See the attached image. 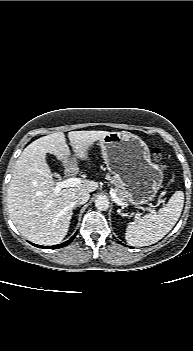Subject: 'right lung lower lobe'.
Here are the masks:
<instances>
[{"label": "right lung lower lobe", "instance_id": "obj_1", "mask_svg": "<svg viewBox=\"0 0 193 351\" xmlns=\"http://www.w3.org/2000/svg\"><path fill=\"white\" fill-rule=\"evenodd\" d=\"M75 235L72 236L68 241H66L60 245H54V246H40V245H36V244H32V245L39 247V248H45V249H57V248H61V247L68 245L74 239Z\"/></svg>", "mask_w": 193, "mask_h": 351}]
</instances>
